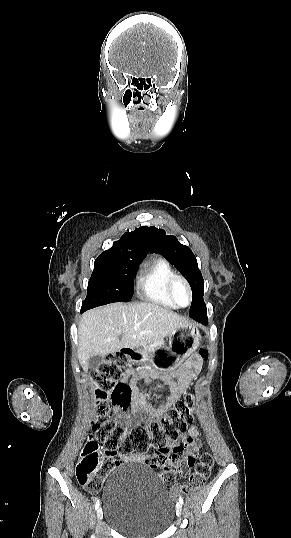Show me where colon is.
I'll return each instance as SVG.
<instances>
[{"label":"colon","instance_id":"1","mask_svg":"<svg viewBox=\"0 0 291 538\" xmlns=\"http://www.w3.org/2000/svg\"><path fill=\"white\" fill-rule=\"evenodd\" d=\"M200 355L208 356L205 348ZM128 364L125 353L110 354L94 373L95 417L89 441L84 447L75 469L78 483L89 492L100 489L105 478L120 465L119 456L144 454L150 447L155 452L148 464L161 469V479L168 487H175L179 492H192L201 488L209 478L213 459L209 453H203L197 461V455H184V446H173L180 434L187 429L192 420L195 400L192 394L180 397L158 419H153L147 426L135 425L126 430L108 415L110 403L126 409L131 402V389L121 382ZM99 443L103 444L100 448ZM186 464L194 467L185 484H176V465Z\"/></svg>","mask_w":291,"mask_h":538}]
</instances>
